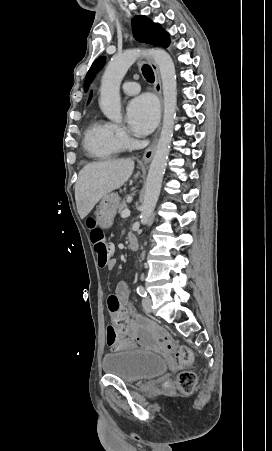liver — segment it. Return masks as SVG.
Here are the masks:
<instances>
[{
    "mask_svg": "<svg viewBox=\"0 0 272 451\" xmlns=\"http://www.w3.org/2000/svg\"><path fill=\"white\" fill-rule=\"evenodd\" d=\"M133 170L132 160L91 162L84 166L75 184V200L81 220L90 214L95 204L106 194L121 188L132 176Z\"/></svg>",
    "mask_w": 272,
    "mask_h": 451,
    "instance_id": "1",
    "label": "liver"
}]
</instances>
